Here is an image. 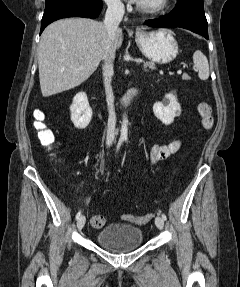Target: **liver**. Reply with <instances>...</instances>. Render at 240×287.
<instances>
[{"instance_id":"1","label":"liver","mask_w":240,"mask_h":287,"mask_svg":"<svg viewBox=\"0 0 240 287\" xmlns=\"http://www.w3.org/2000/svg\"><path fill=\"white\" fill-rule=\"evenodd\" d=\"M122 41L123 32L119 28L112 43L114 50ZM108 44L103 22L68 18L46 27L37 51L42 95L61 93L86 81L105 60Z\"/></svg>"}]
</instances>
